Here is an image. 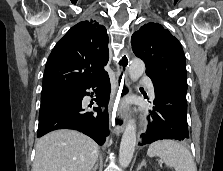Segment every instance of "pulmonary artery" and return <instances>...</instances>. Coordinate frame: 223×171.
<instances>
[{"mask_svg": "<svg viewBox=\"0 0 223 171\" xmlns=\"http://www.w3.org/2000/svg\"><path fill=\"white\" fill-rule=\"evenodd\" d=\"M142 81L146 84L149 94L153 97L154 96V86L151 81L143 78Z\"/></svg>", "mask_w": 223, "mask_h": 171, "instance_id": "1", "label": "pulmonary artery"}]
</instances>
